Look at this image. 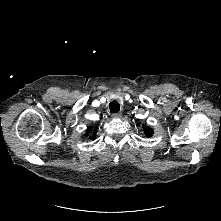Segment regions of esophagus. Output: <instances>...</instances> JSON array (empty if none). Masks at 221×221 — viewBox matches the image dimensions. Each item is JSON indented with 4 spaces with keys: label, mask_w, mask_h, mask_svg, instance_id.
Here are the masks:
<instances>
[{
    "label": "esophagus",
    "mask_w": 221,
    "mask_h": 221,
    "mask_svg": "<svg viewBox=\"0 0 221 221\" xmlns=\"http://www.w3.org/2000/svg\"><path fill=\"white\" fill-rule=\"evenodd\" d=\"M121 117H122L121 113L112 114V118H114V119H118V118H121Z\"/></svg>",
    "instance_id": "esophagus-1"
}]
</instances>
